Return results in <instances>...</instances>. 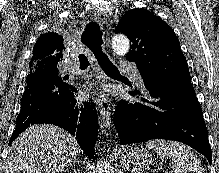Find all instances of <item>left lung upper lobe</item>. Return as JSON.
<instances>
[{
    "label": "left lung upper lobe",
    "mask_w": 219,
    "mask_h": 173,
    "mask_svg": "<svg viewBox=\"0 0 219 173\" xmlns=\"http://www.w3.org/2000/svg\"><path fill=\"white\" fill-rule=\"evenodd\" d=\"M115 32L130 38L126 58L137 64L147 89L163 90L191 84L178 38L161 18L136 8L122 16Z\"/></svg>",
    "instance_id": "5c2ea615"
}]
</instances>
